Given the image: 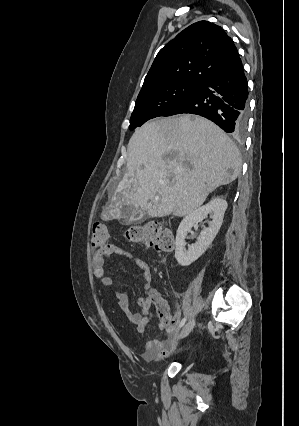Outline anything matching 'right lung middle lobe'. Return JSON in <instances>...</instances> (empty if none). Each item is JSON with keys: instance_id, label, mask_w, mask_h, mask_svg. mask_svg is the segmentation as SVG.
Listing matches in <instances>:
<instances>
[{"instance_id": "obj_1", "label": "right lung middle lobe", "mask_w": 299, "mask_h": 426, "mask_svg": "<svg viewBox=\"0 0 299 426\" xmlns=\"http://www.w3.org/2000/svg\"><path fill=\"white\" fill-rule=\"evenodd\" d=\"M199 87L189 83H172L139 94L131 115L129 129L134 130L149 119L163 116Z\"/></svg>"}]
</instances>
